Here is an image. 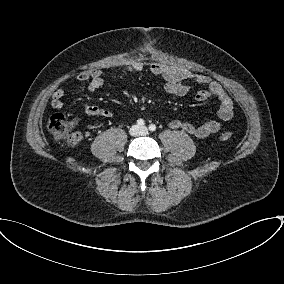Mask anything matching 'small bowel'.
Masks as SVG:
<instances>
[{
	"label": "small bowel",
	"mask_w": 284,
	"mask_h": 284,
	"mask_svg": "<svg viewBox=\"0 0 284 284\" xmlns=\"http://www.w3.org/2000/svg\"><path fill=\"white\" fill-rule=\"evenodd\" d=\"M125 70L129 72H142L145 68L140 61H132L125 65ZM149 71L156 76L163 78L165 81L164 88L167 93L175 96H184L191 88L189 81L206 86L205 89L199 90L195 99L203 102L211 97H215L219 102L217 111L218 120H208L202 124L196 125L181 120L170 122L172 129L182 130L196 138L203 139L211 134L217 133L222 129V123L229 121L233 117V101L223 86L213 81L209 76L193 73L185 68L177 66H168L161 63H151ZM79 82H88V91L94 92L100 89L104 84L102 71L99 68H93L89 71H83L76 76ZM66 94L64 88H58L54 91L51 100V106L56 110L63 108V97ZM84 111L89 116L110 117L108 110L101 109L90 103L84 104Z\"/></svg>",
	"instance_id": "1"
}]
</instances>
